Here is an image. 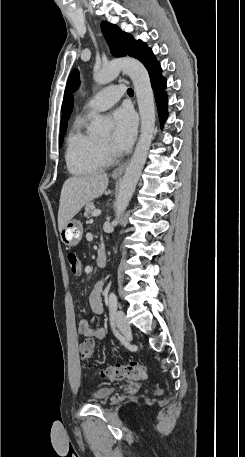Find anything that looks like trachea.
<instances>
[{"mask_svg": "<svg viewBox=\"0 0 245 457\" xmlns=\"http://www.w3.org/2000/svg\"><path fill=\"white\" fill-rule=\"evenodd\" d=\"M127 93L128 95L133 96L134 90L132 88H128Z\"/></svg>", "mask_w": 245, "mask_h": 457, "instance_id": "1", "label": "trachea"}]
</instances>
